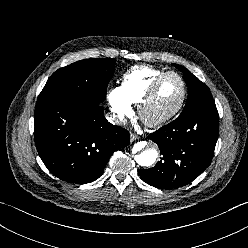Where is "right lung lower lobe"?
I'll list each match as a JSON object with an SVG mask.
<instances>
[{"mask_svg":"<svg viewBox=\"0 0 248 248\" xmlns=\"http://www.w3.org/2000/svg\"><path fill=\"white\" fill-rule=\"evenodd\" d=\"M34 121L39 156L53 175L69 183L95 181L114 151L129 144V132L109 123L101 105L38 100Z\"/></svg>","mask_w":248,"mask_h":248,"instance_id":"right-lung-lower-lobe-1","label":"right lung lower lobe"}]
</instances>
